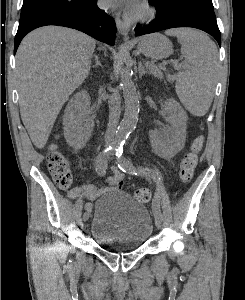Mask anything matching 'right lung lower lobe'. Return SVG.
I'll use <instances>...</instances> for the list:
<instances>
[{
  "instance_id": "obj_1",
  "label": "right lung lower lobe",
  "mask_w": 245,
  "mask_h": 300,
  "mask_svg": "<svg viewBox=\"0 0 245 300\" xmlns=\"http://www.w3.org/2000/svg\"><path fill=\"white\" fill-rule=\"evenodd\" d=\"M58 25L77 29L93 38L114 45L116 36V25L114 20L103 10L98 8L97 0L88 8L72 11H63L44 18L33 20L24 24H19L14 42V53L23 37L41 26Z\"/></svg>"
}]
</instances>
